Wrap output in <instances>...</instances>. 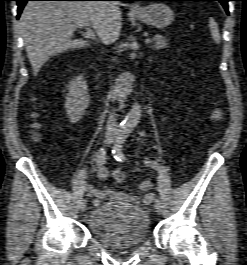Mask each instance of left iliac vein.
Here are the masks:
<instances>
[{"instance_id":"left-iliac-vein-1","label":"left iliac vein","mask_w":247,"mask_h":265,"mask_svg":"<svg viewBox=\"0 0 247 265\" xmlns=\"http://www.w3.org/2000/svg\"><path fill=\"white\" fill-rule=\"evenodd\" d=\"M154 207H155V209H156V211H157L158 213L161 212L162 205H161V201H160L159 198H157V199L155 200Z\"/></svg>"}]
</instances>
